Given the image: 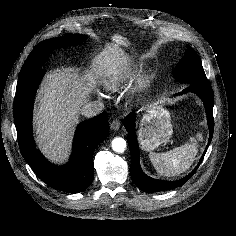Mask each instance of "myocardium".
Wrapping results in <instances>:
<instances>
[{
	"label": "myocardium",
	"instance_id": "obj_1",
	"mask_svg": "<svg viewBox=\"0 0 236 236\" xmlns=\"http://www.w3.org/2000/svg\"><path fill=\"white\" fill-rule=\"evenodd\" d=\"M148 83H149V76H148V75H143V76L138 80L136 89H137L138 91H142L143 89L146 88V86L148 85Z\"/></svg>",
	"mask_w": 236,
	"mask_h": 236
}]
</instances>
